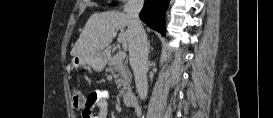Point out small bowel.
Masks as SVG:
<instances>
[{
	"instance_id": "obj_1",
	"label": "small bowel",
	"mask_w": 273,
	"mask_h": 118,
	"mask_svg": "<svg viewBox=\"0 0 273 118\" xmlns=\"http://www.w3.org/2000/svg\"><path fill=\"white\" fill-rule=\"evenodd\" d=\"M107 97L106 91L97 90L88 96V105L85 110L82 111L83 118H93V110H97L96 118L107 117Z\"/></svg>"
}]
</instances>
